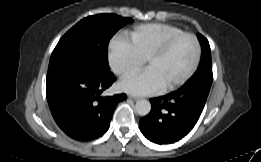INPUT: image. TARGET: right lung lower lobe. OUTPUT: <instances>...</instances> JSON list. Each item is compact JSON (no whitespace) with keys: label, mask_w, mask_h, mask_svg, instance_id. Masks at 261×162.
I'll use <instances>...</instances> for the list:
<instances>
[{"label":"right lung lower lobe","mask_w":261,"mask_h":162,"mask_svg":"<svg viewBox=\"0 0 261 162\" xmlns=\"http://www.w3.org/2000/svg\"><path fill=\"white\" fill-rule=\"evenodd\" d=\"M116 80L110 71L86 63H70L47 73L46 95L55 122L71 138L90 141L109 128L112 114L125 94L102 97Z\"/></svg>","instance_id":"obj_1"}]
</instances>
